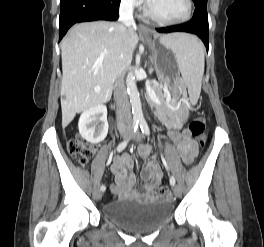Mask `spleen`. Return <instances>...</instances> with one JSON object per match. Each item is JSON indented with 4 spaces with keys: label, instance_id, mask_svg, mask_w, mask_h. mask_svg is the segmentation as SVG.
<instances>
[{
    "label": "spleen",
    "instance_id": "obj_1",
    "mask_svg": "<svg viewBox=\"0 0 264 247\" xmlns=\"http://www.w3.org/2000/svg\"><path fill=\"white\" fill-rule=\"evenodd\" d=\"M174 53L182 79L191 99L196 102L200 96L204 74V47L193 35L180 33L168 41Z\"/></svg>",
    "mask_w": 264,
    "mask_h": 247
}]
</instances>
